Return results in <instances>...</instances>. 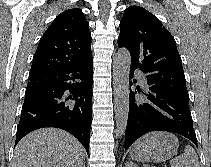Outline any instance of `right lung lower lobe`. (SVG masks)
Masks as SVG:
<instances>
[{
  "mask_svg": "<svg viewBox=\"0 0 211 167\" xmlns=\"http://www.w3.org/2000/svg\"><path fill=\"white\" fill-rule=\"evenodd\" d=\"M92 58L30 80L17 127V144L29 132L56 127L75 136L88 152L92 113Z\"/></svg>",
  "mask_w": 211,
  "mask_h": 167,
  "instance_id": "obj_1",
  "label": "right lung lower lobe"
}]
</instances>
